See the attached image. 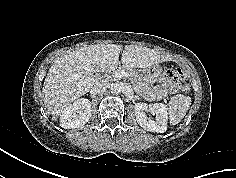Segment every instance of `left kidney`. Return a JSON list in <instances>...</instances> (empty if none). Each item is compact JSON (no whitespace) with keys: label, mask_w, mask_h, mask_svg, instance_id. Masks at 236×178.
<instances>
[{"label":"left kidney","mask_w":236,"mask_h":178,"mask_svg":"<svg viewBox=\"0 0 236 178\" xmlns=\"http://www.w3.org/2000/svg\"><path fill=\"white\" fill-rule=\"evenodd\" d=\"M134 112L138 124L143 129L157 133L166 132L168 113L167 107L163 103H155L148 106L146 103L139 102L135 104ZM147 112L156 115L155 121L147 118Z\"/></svg>","instance_id":"obj_1"}]
</instances>
